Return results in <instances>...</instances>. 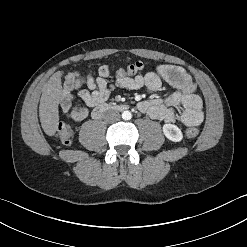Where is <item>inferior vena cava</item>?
I'll use <instances>...</instances> for the list:
<instances>
[{
    "label": "inferior vena cava",
    "instance_id": "obj_1",
    "mask_svg": "<svg viewBox=\"0 0 247 247\" xmlns=\"http://www.w3.org/2000/svg\"><path fill=\"white\" fill-rule=\"evenodd\" d=\"M104 118L108 122H115V121H118L120 119V114L117 111L110 110V111L105 113Z\"/></svg>",
    "mask_w": 247,
    "mask_h": 247
}]
</instances>
